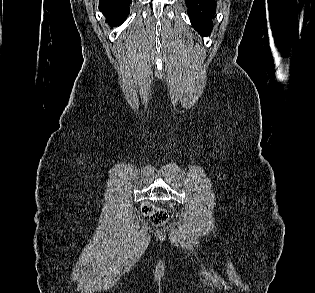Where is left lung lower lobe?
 <instances>
[{"mask_svg":"<svg viewBox=\"0 0 315 293\" xmlns=\"http://www.w3.org/2000/svg\"><path fill=\"white\" fill-rule=\"evenodd\" d=\"M193 26L206 36L212 28L211 19L214 15L215 0H185Z\"/></svg>","mask_w":315,"mask_h":293,"instance_id":"1","label":"left lung lower lobe"}]
</instances>
